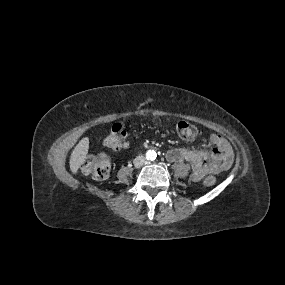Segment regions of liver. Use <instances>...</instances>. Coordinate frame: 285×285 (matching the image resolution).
<instances>
[{
	"mask_svg": "<svg viewBox=\"0 0 285 285\" xmlns=\"http://www.w3.org/2000/svg\"><path fill=\"white\" fill-rule=\"evenodd\" d=\"M89 149V138H83L74 148L70 157V170L76 174L80 166L85 162Z\"/></svg>",
	"mask_w": 285,
	"mask_h": 285,
	"instance_id": "6515ba94",
	"label": "liver"
}]
</instances>
